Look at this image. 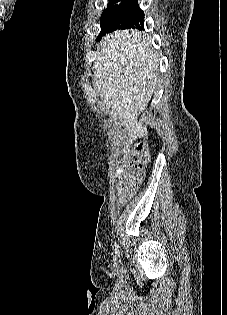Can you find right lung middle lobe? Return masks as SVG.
<instances>
[{
  "label": "right lung middle lobe",
  "mask_w": 227,
  "mask_h": 315,
  "mask_svg": "<svg viewBox=\"0 0 227 315\" xmlns=\"http://www.w3.org/2000/svg\"><path fill=\"white\" fill-rule=\"evenodd\" d=\"M144 12L137 0H109L101 15V35L116 29H144ZM99 40V38L97 39Z\"/></svg>",
  "instance_id": "1"
}]
</instances>
